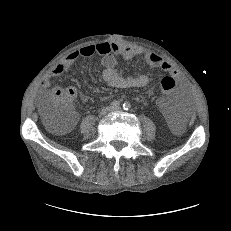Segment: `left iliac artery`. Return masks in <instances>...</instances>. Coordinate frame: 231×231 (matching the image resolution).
<instances>
[{"label": "left iliac artery", "mask_w": 231, "mask_h": 231, "mask_svg": "<svg viewBox=\"0 0 231 231\" xmlns=\"http://www.w3.org/2000/svg\"><path fill=\"white\" fill-rule=\"evenodd\" d=\"M130 107H131V105H130V103H128V102H125V103L123 104L124 110H129Z\"/></svg>", "instance_id": "obj_1"}]
</instances>
